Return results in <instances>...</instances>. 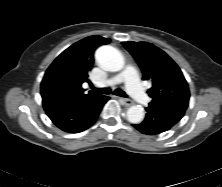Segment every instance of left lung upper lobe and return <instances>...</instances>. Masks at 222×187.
<instances>
[{"instance_id":"left-lung-upper-lobe-1","label":"left lung upper lobe","mask_w":222,"mask_h":187,"mask_svg":"<svg viewBox=\"0 0 222 187\" xmlns=\"http://www.w3.org/2000/svg\"><path fill=\"white\" fill-rule=\"evenodd\" d=\"M133 55L143 73V80L151 82L147 93L151 102L164 100L189 101L186 79L178 65L161 49L147 42H122Z\"/></svg>"}]
</instances>
